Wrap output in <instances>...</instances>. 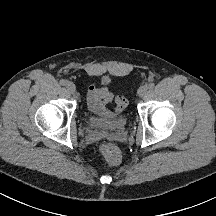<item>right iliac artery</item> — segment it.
Masks as SVG:
<instances>
[{"instance_id":"right-iliac-artery-1","label":"right iliac artery","mask_w":216,"mask_h":216,"mask_svg":"<svg viewBox=\"0 0 216 216\" xmlns=\"http://www.w3.org/2000/svg\"><path fill=\"white\" fill-rule=\"evenodd\" d=\"M60 84H61L62 86H65V85L67 84V81L64 80V79H62V80H60Z\"/></svg>"}]
</instances>
